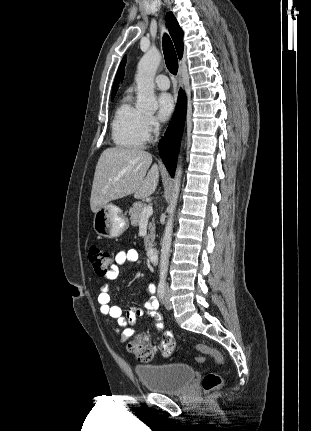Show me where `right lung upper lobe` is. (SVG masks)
Returning <instances> with one entry per match:
<instances>
[{
  "label": "right lung upper lobe",
  "mask_w": 311,
  "mask_h": 431,
  "mask_svg": "<svg viewBox=\"0 0 311 431\" xmlns=\"http://www.w3.org/2000/svg\"><path fill=\"white\" fill-rule=\"evenodd\" d=\"M165 20H166V25H167V28L169 30V33H170V35L173 39L174 45L176 47L178 57H179V59H181L183 56V31L179 27L178 22H177V20H176V18L172 12H168L166 14ZM125 63H126V56L123 58L120 66L118 68V72L116 74V77H115V81H114V85H113V89H112V97L113 98H114L116 91L118 89V84H119L121 72H122V69L124 68Z\"/></svg>",
  "instance_id": "cb5924a9"
}]
</instances>
